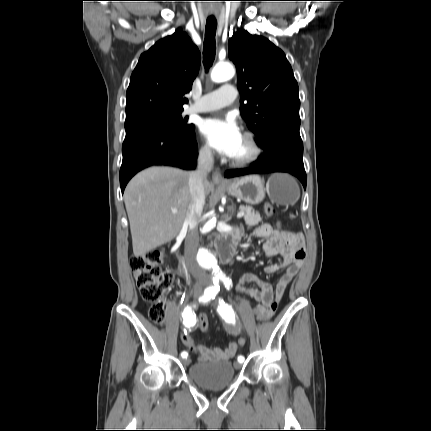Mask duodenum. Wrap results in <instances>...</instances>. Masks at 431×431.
<instances>
[{
	"label": "duodenum",
	"instance_id": "1",
	"mask_svg": "<svg viewBox=\"0 0 431 431\" xmlns=\"http://www.w3.org/2000/svg\"><path fill=\"white\" fill-rule=\"evenodd\" d=\"M239 236L236 233H232L222 237L218 242V250L221 258L224 261H230L235 253L238 246Z\"/></svg>",
	"mask_w": 431,
	"mask_h": 431
}]
</instances>
